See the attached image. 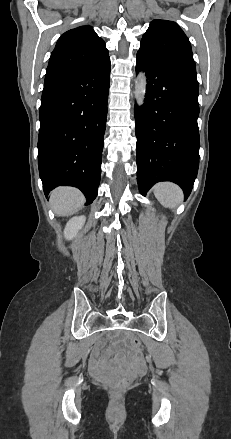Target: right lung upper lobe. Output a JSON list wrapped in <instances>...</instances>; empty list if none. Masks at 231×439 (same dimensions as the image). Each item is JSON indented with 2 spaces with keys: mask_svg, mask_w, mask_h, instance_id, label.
<instances>
[{
  "mask_svg": "<svg viewBox=\"0 0 231 439\" xmlns=\"http://www.w3.org/2000/svg\"><path fill=\"white\" fill-rule=\"evenodd\" d=\"M105 43L92 27L65 32L57 41L45 75V83L87 73L108 59Z\"/></svg>",
  "mask_w": 231,
  "mask_h": 439,
  "instance_id": "obj_1",
  "label": "right lung upper lobe"
}]
</instances>
